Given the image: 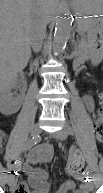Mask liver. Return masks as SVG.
<instances>
[{
  "mask_svg": "<svg viewBox=\"0 0 103 193\" xmlns=\"http://www.w3.org/2000/svg\"><path fill=\"white\" fill-rule=\"evenodd\" d=\"M57 0H1V76L22 71L31 57L29 28L34 18L48 20Z\"/></svg>",
  "mask_w": 103,
  "mask_h": 193,
  "instance_id": "obj_1",
  "label": "liver"
}]
</instances>
